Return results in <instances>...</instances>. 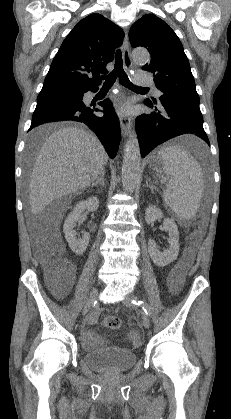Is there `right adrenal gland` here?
I'll return each mask as SVG.
<instances>
[{
  "label": "right adrenal gland",
  "mask_w": 231,
  "mask_h": 419,
  "mask_svg": "<svg viewBox=\"0 0 231 419\" xmlns=\"http://www.w3.org/2000/svg\"><path fill=\"white\" fill-rule=\"evenodd\" d=\"M104 175H105V172L104 171L101 172V174L98 176L97 180L94 183H92L91 187L98 186V185H101V186L104 187L105 186Z\"/></svg>",
  "instance_id": "right-adrenal-gland-1"
}]
</instances>
